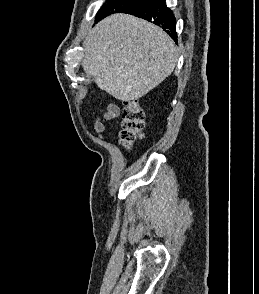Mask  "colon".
Returning a JSON list of instances; mask_svg holds the SVG:
<instances>
[{
	"mask_svg": "<svg viewBox=\"0 0 259 294\" xmlns=\"http://www.w3.org/2000/svg\"><path fill=\"white\" fill-rule=\"evenodd\" d=\"M145 115L136 100L125 101L122 109L120 137L126 146H131L141 137Z\"/></svg>",
	"mask_w": 259,
	"mask_h": 294,
	"instance_id": "colon-1",
	"label": "colon"
}]
</instances>
